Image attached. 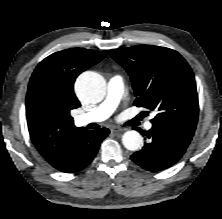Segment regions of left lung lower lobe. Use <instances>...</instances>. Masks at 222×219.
Masks as SVG:
<instances>
[{"label":"left lung lower lobe","instance_id":"obj_1","mask_svg":"<svg viewBox=\"0 0 222 219\" xmlns=\"http://www.w3.org/2000/svg\"><path fill=\"white\" fill-rule=\"evenodd\" d=\"M140 130V129H139ZM147 135L149 142L131 159L148 171H160L174 165L185 153L192 137L171 127L153 125Z\"/></svg>","mask_w":222,"mask_h":219}]
</instances>
